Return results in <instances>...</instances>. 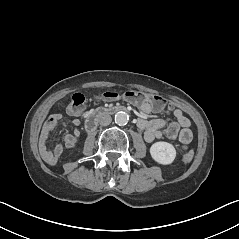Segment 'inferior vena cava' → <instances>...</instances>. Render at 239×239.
I'll list each match as a JSON object with an SVG mask.
<instances>
[{
    "mask_svg": "<svg viewBox=\"0 0 239 239\" xmlns=\"http://www.w3.org/2000/svg\"><path fill=\"white\" fill-rule=\"evenodd\" d=\"M101 126H108L112 122V118L109 114H103L98 120Z\"/></svg>",
    "mask_w": 239,
    "mask_h": 239,
    "instance_id": "1",
    "label": "inferior vena cava"
}]
</instances>
